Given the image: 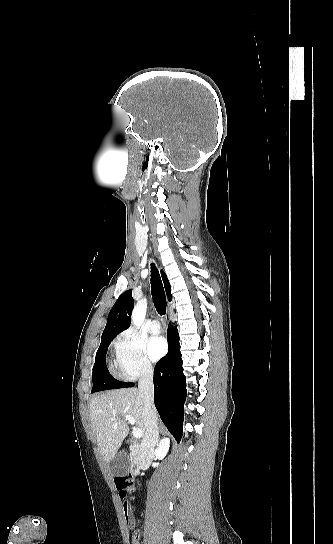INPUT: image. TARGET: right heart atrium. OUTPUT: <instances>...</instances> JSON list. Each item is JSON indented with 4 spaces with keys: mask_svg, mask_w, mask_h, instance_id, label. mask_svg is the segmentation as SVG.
<instances>
[{
    "mask_svg": "<svg viewBox=\"0 0 333 544\" xmlns=\"http://www.w3.org/2000/svg\"><path fill=\"white\" fill-rule=\"evenodd\" d=\"M112 345L117 373L121 379L134 381L152 375L153 366L147 356L144 341L135 332H121Z\"/></svg>",
    "mask_w": 333,
    "mask_h": 544,
    "instance_id": "right-heart-atrium-1",
    "label": "right heart atrium"
}]
</instances>
